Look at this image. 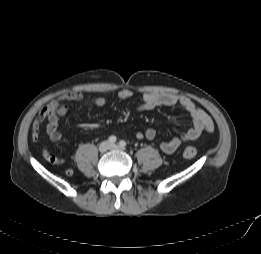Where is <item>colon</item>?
<instances>
[{
	"instance_id": "colon-1",
	"label": "colon",
	"mask_w": 261,
	"mask_h": 254,
	"mask_svg": "<svg viewBox=\"0 0 261 254\" xmlns=\"http://www.w3.org/2000/svg\"><path fill=\"white\" fill-rule=\"evenodd\" d=\"M196 154H197V150L193 146H188L183 151V156L186 159H192V158H194L196 156ZM65 173L70 176V175H72V170L71 169H67L65 171Z\"/></svg>"
}]
</instances>
